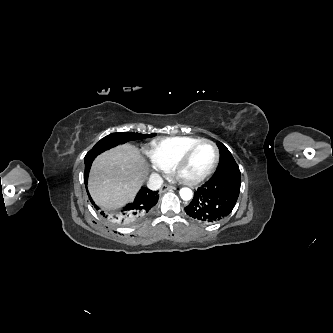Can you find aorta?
<instances>
[{
  "label": "aorta",
  "instance_id": "aorta-1",
  "mask_svg": "<svg viewBox=\"0 0 333 333\" xmlns=\"http://www.w3.org/2000/svg\"><path fill=\"white\" fill-rule=\"evenodd\" d=\"M180 196H181V198L183 199V200H185V201H188V200H190L191 198H192V196H193V193H192V190L191 189H189V188H182L181 190H180Z\"/></svg>",
  "mask_w": 333,
  "mask_h": 333
}]
</instances>
